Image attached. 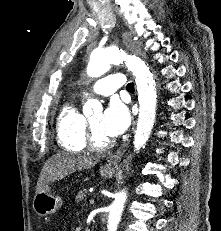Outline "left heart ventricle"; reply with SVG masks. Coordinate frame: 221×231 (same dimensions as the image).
<instances>
[{"mask_svg": "<svg viewBox=\"0 0 221 231\" xmlns=\"http://www.w3.org/2000/svg\"><path fill=\"white\" fill-rule=\"evenodd\" d=\"M101 113H96L90 117H88V120L90 122V125L95 133V137L98 140V142L103 143L106 141L111 140V137L105 135L101 130H100V120H101Z\"/></svg>", "mask_w": 221, "mask_h": 231, "instance_id": "b2bd125f", "label": "left heart ventricle"}]
</instances>
